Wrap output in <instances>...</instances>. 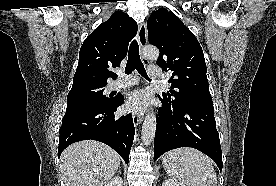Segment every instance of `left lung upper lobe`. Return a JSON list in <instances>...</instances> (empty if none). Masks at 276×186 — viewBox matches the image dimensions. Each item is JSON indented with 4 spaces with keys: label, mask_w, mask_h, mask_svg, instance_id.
<instances>
[{
    "label": "left lung upper lobe",
    "mask_w": 276,
    "mask_h": 186,
    "mask_svg": "<svg viewBox=\"0 0 276 186\" xmlns=\"http://www.w3.org/2000/svg\"><path fill=\"white\" fill-rule=\"evenodd\" d=\"M149 42L160 56L157 65L171 71L172 86L161 95L174 107L213 105L207 80V67L195 35L172 12L154 11L147 21Z\"/></svg>",
    "instance_id": "5c2ea615"
}]
</instances>
